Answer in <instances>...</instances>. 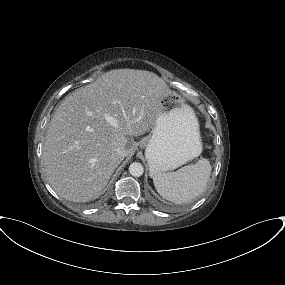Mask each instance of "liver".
I'll return each instance as SVG.
<instances>
[{
  "instance_id": "1",
  "label": "liver",
  "mask_w": 285,
  "mask_h": 285,
  "mask_svg": "<svg viewBox=\"0 0 285 285\" xmlns=\"http://www.w3.org/2000/svg\"><path fill=\"white\" fill-rule=\"evenodd\" d=\"M164 91L149 71L117 69L68 95L51 119L43 146L44 171L54 191L72 202L97 198L124 157L133 154L131 138L156 124ZM118 148L125 149L124 157L117 155Z\"/></svg>"
}]
</instances>
